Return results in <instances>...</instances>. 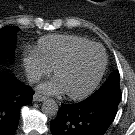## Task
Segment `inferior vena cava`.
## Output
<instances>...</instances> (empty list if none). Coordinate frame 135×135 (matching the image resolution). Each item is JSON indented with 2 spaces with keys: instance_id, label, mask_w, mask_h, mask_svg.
I'll use <instances>...</instances> for the list:
<instances>
[{
  "instance_id": "602c4592",
  "label": "inferior vena cava",
  "mask_w": 135,
  "mask_h": 135,
  "mask_svg": "<svg viewBox=\"0 0 135 135\" xmlns=\"http://www.w3.org/2000/svg\"><path fill=\"white\" fill-rule=\"evenodd\" d=\"M28 80L30 83H35L40 80V75L37 73H32L28 76Z\"/></svg>"
}]
</instances>
